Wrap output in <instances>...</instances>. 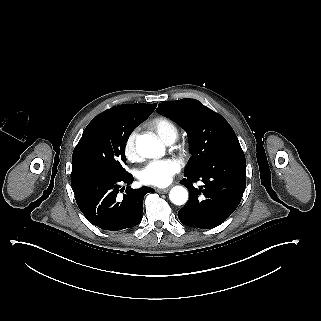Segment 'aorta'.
<instances>
[{
    "label": "aorta",
    "instance_id": "obj_1",
    "mask_svg": "<svg viewBox=\"0 0 321 321\" xmlns=\"http://www.w3.org/2000/svg\"><path fill=\"white\" fill-rule=\"evenodd\" d=\"M137 152L144 157H158L164 153L163 145L149 135H141L136 140ZM171 202L175 205H183L188 200V192L182 186H175L169 193Z\"/></svg>",
    "mask_w": 321,
    "mask_h": 321
}]
</instances>
